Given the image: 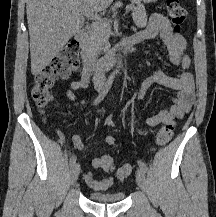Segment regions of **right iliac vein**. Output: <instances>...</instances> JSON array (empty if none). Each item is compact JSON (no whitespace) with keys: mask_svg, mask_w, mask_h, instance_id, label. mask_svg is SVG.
Wrapping results in <instances>:
<instances>
[{"mask_svg":"<svg viewBox=\"0 0 216 217\" xmlns=\"http://www.w3.org/2000/svg\"><path fill=\"white\" fill-rule=\"evenodd\" d=\"M79 173H80V165L75 163L74 165H72L70 169L71 184H74L76 182V180L78 179Z\"/></svg>","mask_w":216,"mask_h":217,"instance_id":"1","label":"right iliac vein"}]
</instances>
